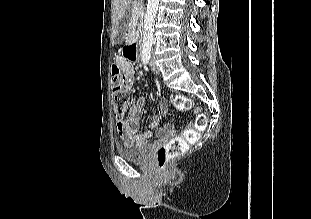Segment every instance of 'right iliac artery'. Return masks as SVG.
I'll use <instances>...</instances> for the list:
<instances>
[{
	"instance_id": "1",
	"label": "right iliac artery",
	"mask_w": 311,
	"mask_h": 219,
	"mask_svg": "<svg viewBox=\"0 0 311 219\" xmlns=\"http://www.w3.org/2000/svg\"><path fill=\"white\" fill-rule=\"evenodd\" d=\"M150 50L148 49H144L142 51V61L144 64H148L149 60H150Z\"/></svg>"
}]
</instances>
